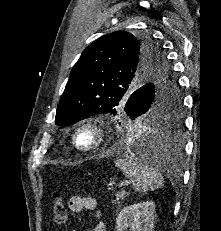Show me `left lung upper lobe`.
<instances>
[{
	"label": "left lung upper lobe",
	"mask_w": 221,
	"mask_h": 231,
	"mask_svg": "<svg viewBox=\"0 0 221 231\" xmlns=\"http://www.w3.org/2000/svg\"><path fill=\"white\" fill-rule=\"evenodd\" d=\"M135 95H137L136 98ZM139 99L136 105L131 104ZM181 97L163 48L147 35H105L85 48L74 65L57 107L58 126L95 114H147L163 126L181 118Z\"/></svg>",
	"instance_id": "5c2ea615"
}]
</instances>
